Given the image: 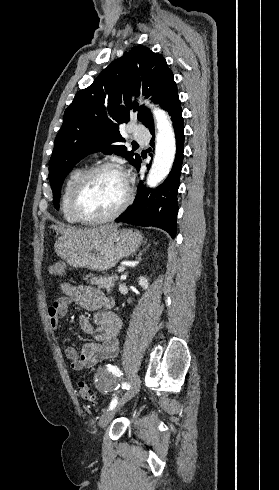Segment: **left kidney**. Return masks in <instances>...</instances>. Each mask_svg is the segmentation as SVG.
<instances>
[{
  "instance_id": "obj_1",
  "label": "left kidney",
  "mask_w": 279,
  "mask_h": 490,
  "mask_svg": "<svg viewBox=\"0 0 279 490\" xmlns=\"http://www.w3.org/2000/svg\"><path fill=\"white\" fill-rule=\"evenodd\" d=\"M139 282V286H141V288H143V290H148L149 288V282L147 280V278H144V276H140V278H138Z\"/></svg>"
}]
</instances>
